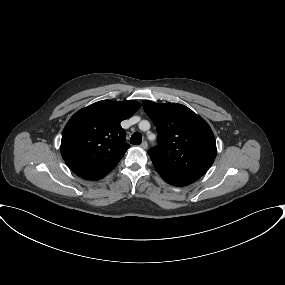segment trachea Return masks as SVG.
I'll return each instance as SVG.
<instances>
[{"instance_id":"obj_1","label":"trachea","mask_w":285,"mask_h":285,"mask_svg":"<svg viewBox=\"0 0 285 285\" xmlns=\"http://www.w3.org/2000/svg\"><path fill=\"white\" fill-rule=\"evenodd\" d=\"M142 142V134L140 132H134L130 138V143L133 145H140Z\"/></svg>"}]
</instances>
